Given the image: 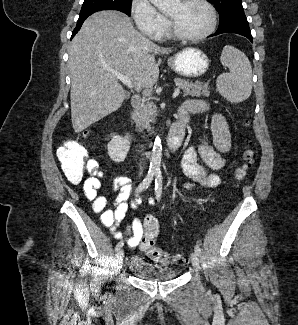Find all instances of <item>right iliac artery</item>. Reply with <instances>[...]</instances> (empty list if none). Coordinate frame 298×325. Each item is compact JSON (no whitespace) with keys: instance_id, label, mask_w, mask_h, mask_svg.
<instances>
[{"instance_id":"obj_1","label":"right iliac artery","mask_w":298,"mask_h":325,"mask_svg":"<svg viewBox=\"0 0 298 325\" xmlns=\"http://www.w3.org/2000/svg\"><path fill=\"white\" fill-rule=\"evenodd\" d=\"M155 173L154 172H148L147 176L145 177V179L139 184V186L136 188L135 194L136 196H138L143 190H146L150 183L152 182L153 178H154ZM123 241L119 242L116 247H115V251H119L122 246H123Z\"/></svg>"}]
</instances>
